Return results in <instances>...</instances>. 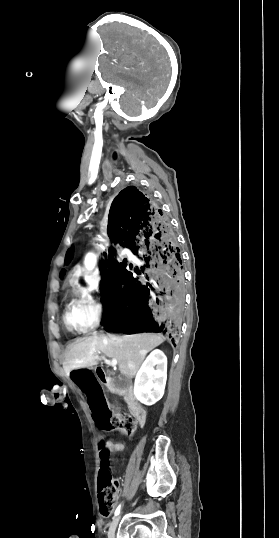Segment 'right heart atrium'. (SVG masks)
I'll use <instances>...</instances> for the list:
<instances>
[{
    "instance_id": "obj_1",
    "label": "right heart atrium",
    "mask_w": 279,
    "mask_h": 538,
    "mask_svg": "<svg viewBox=\"0 0 279 538\" xmlns=\"http://www.w3.org/2000/svg\"><path fill=\"white\" fill-rule=\"evenodd\" d=\"M104 226L106 227L107 223H104ZM80 297L84 304L86 329H92L99 324L104 310V292L97 276L89 277Z\"/></svg>"
}]
</instances>
